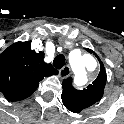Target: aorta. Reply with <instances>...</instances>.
I'll return each instance as SVG.
<instances>
[{
	"mask_svg": "<svg viewBox=\"0 0 124 124\" xmlns=\"http://www.w3.org/2000/svg\"><path fill=\"white\" fill-rule=\"evenodd\" d=\"M69 62L75 71V83L83 86L87 83L88 78L84 69V57L80 54L70 53Z\"/></svg>",
	"mask_w": 124,
	"mask_h": 124,
	"instance_id": "762f6f07",
	"label": "aorta"
}]
</instances>
